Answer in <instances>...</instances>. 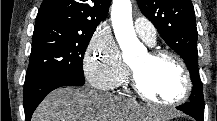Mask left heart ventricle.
<instances>
[{"instance_id":"left-heart-ventricle-1","label":"left heart ventricle","mask_w":217,"mask_h":121,"mask_svg":"<svg viewBox=\"0 0 217 121\" xmlns=\"http://www.w3.org/2000/svg\"><path fill=\"white\" fill-rule=\"evenodd\" d=\"M146 92L163 102L176 99L182 92V73L170 58L152 60L144 54L130 63Z\"/></svg>"}]
</instances>
